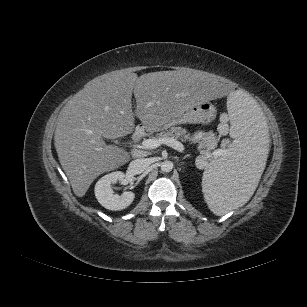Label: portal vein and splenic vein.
Returning a JSON list of instances; mask_svg holds the SVG:
<instances>
[{"mask_svg": "<svg viewBox=\"0 0 307 307\" xmlns=\"http://www.w3.org/2000/svg\"><path fill=\"white\" fill-rule=\"evenodd\" d=\"M162 144L170 146L179 152H183L184 150L183 144L174 138H160V139L153 138V139H146L142 142V146L147 149H155ZM223 152H224L223 150H216L209 157L217 158Z\"/></svg>", "mask_w": 307, "mask_h": 307, "instance_id": "portal-vein-and-splenic-vein-1", "label": "portal vein and splenic vein"}]
</instances>
